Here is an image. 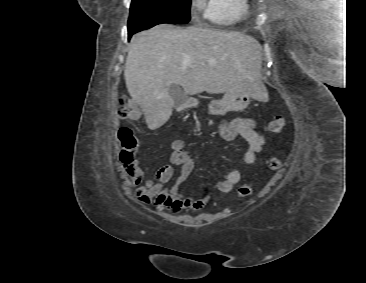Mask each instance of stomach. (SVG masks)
Instances as JSON below:
<instances>
[{"instance_id":"obj_1","label":"stomach","mask_w":366,"mask_h":283,"mask_svg":"<svg viewBox=\"0 0 366 283\" xmlns=\"http://www.w3.org/2000/svg\"><path fill=\"white\" fill-rule=\"evenodd\" d=\"M250 95L244 92H226L221 100H213L209 103V113L212 115H224L228 111L245 108L250 103Z\"/></svg>"}]
</instances>
